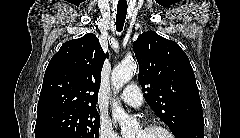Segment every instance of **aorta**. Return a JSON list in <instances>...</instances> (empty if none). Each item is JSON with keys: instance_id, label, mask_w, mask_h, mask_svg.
Segmentation results:
<instances>
[{"instance_id": "1", "label": "aorta", "mask_w": 240, "mask_h": 138, "mask_svg": "<svg viewBox=\"0 0 240 138\" xmlns=\"http://www.w3.org/2000/svg\"><path fill=\"white\" fill-rule=\"evenodd\" d=\"M136 69L137 64L132 60L118 64L111 74V82L114 89H121L133 77ZM112 116L119 123L123 137L129 138L137 127V122L115 101L112 104Z\"/></svg>"}]
</instances>
